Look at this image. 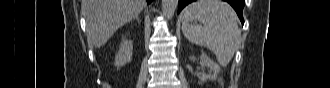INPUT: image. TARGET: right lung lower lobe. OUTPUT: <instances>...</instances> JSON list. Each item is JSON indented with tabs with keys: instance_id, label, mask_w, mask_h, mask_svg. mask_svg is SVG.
Returning <instances> with one entry per match:
<instances>
[{
	"instance_id": "obj_1",
	"label": "right lung lower lobe",
	"mask_w": 330,
	"mask_h": 88,
	"mask_svg": "<svg viewBox=\"0 0 330 88\" xmlns=\"http://www.w3.org/2000/svg\"><path fill=\"white\" fill-rule=\"evenodd\" d=\"M148 3L152 2L153 0H146Z\"/></svg>"
}]
</instances>
